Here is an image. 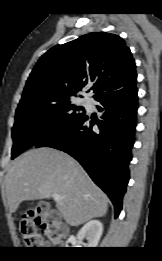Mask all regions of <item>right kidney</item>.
<instances>
[{"label": "right kidney", "instance_id": "ca27d5eb", "mask_svg": "<svg viewBox=\"0 0 162 261\" xmlns=\"http://www.w3.org/2000/svg\"><path fill=\"white\" fill-rule=\"evenodd\" d=\"M103 233V225L98 220H91L86 223L78 232L77 238L82 241L84 238L87 240L85 247H97Z\"/></svg>", "mask_w": 162, "mask_h": 261}]
</instances>
